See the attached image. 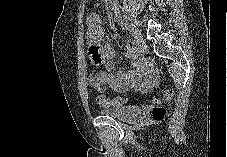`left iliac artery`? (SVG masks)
Instances as JSON below:
<instances>
[{
	"label": "left iliac artery",
	"instance_id": "obj_1",
	"mask_svg": "<svg viewBox=\"0 0 227 157\" xmlns=\"http://www.w3.org/2000/svg\"><path fill=\"white\" fill-rule=\"evenodd\" d=\"M122 25H123L124 29H126V30H130L131 29L130 26L127 23H123Z\"/></svg>",
	"mask_w": 227,
	"mask_h": 157
}]
</instances>
